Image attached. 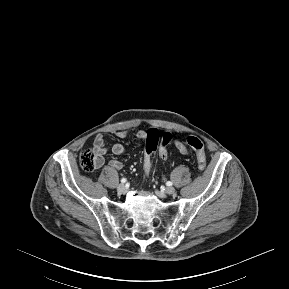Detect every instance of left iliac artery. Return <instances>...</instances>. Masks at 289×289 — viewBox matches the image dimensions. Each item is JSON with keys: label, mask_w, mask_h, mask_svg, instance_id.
Wrapping results in <instances>:
<instances>
[{"label": "left iliac artery", "mask_w": 289, "mask_h": 289, "mask_svg": "<svg viewBox=\"0 0 289 289\" xmlns=\"http://www.w3.org/2000/svg\"><path fill=\"white\" fill-rule=\"evenodd\" d=\"M166 185H167V186H172L173 183H172L171 181H168V182L166 183Z\"/></svg>", "instance_id": "44dca946"}]
</instances>
